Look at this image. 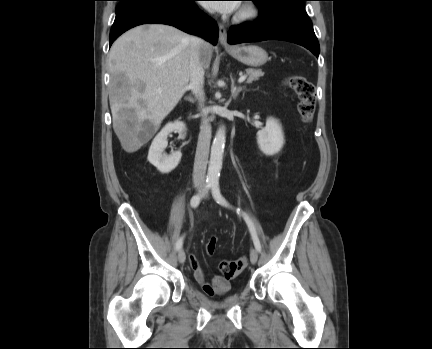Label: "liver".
I'll use <instances>...</instances> for the list:
<instances>
[{"instance_id":"6515ba94","label":"liver","mask_w":432,"mask_h":349,"mask_svg":"<svg viewBox=\"0 0 432 349\" xmlns=\"http://www.w3.org/2000/svg\"><path fill=\"white\" fill-rule=\"evenodd\" d=\"M191 36L168 25H141L121 35L109 52V102L113 128L122 148L139 150L188 89ZM212 46L200 59L209 68ZM129 109L128 117L124 110Z\"/></svg>"}]
</instances>
